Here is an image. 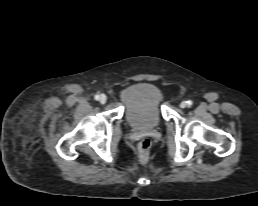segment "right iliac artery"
<instances>
[{
	"mask_svg": "<svg viewBox=\"0 0 258 206\" xmlns=\"http://www.w3.org/2000/svg\"><path fill=\"white\" fill-rule=\"evenodd\" d=\"M100 96L99 95H95L94 99L95 100H99Z\"/></svg>",
	"mask_w": 258,
	"mask_h": 206,
	"instance_id": "obj_1",
	"label": "right iliac artery"
}]
</instances>
